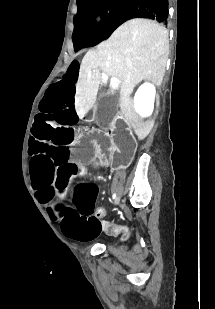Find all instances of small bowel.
<instances>
[{"instance_id": "1", "label": "small bowel", "mask_w": 215, "mask_h": 309, "mask_svg": "<svg viewBox=\"0 0 215 309\" xmlns=\"http://www.w3.org/2000/svg\"><path fill=\"white\" fill-rule=\"evenodd\" d=\"M100 210V209H98ZM98 212V211H97ZM97 212L94 214V218H99V216L97 215ZM95 228V227H94Z\"/></svg>"}]
</instances>
